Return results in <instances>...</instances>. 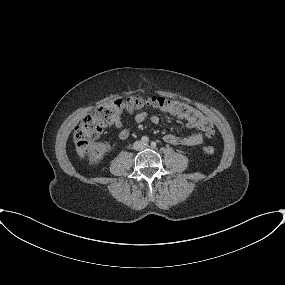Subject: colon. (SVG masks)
Segmentation results:
<instances>
[{
    "label": "colon",
    "mask_w": 285,
    "mask_h": 285,
    "mask_svg": "<svg viewBox=\"0 0 285 285\" xmlns=\"http://www.w3.org/2000/svg\"><path fill=\"white\" fill-rule=\"evenodd\" d=\"M147 107L183 118L192 126L208 134L214 133L213 125L207 116L186 102L161 96L130 95L114 102L102 104L93 113L82 119L74 130V139L78 148L86 154L91 164L101 162L109 148L107 144L97 141L103 129L113 125L122 112L141 111ZM214 150L211 145L203 148V152L208 155L213 154Z\"/></svg>",
    "instance_id": "colon-1"
}]
</instances>
